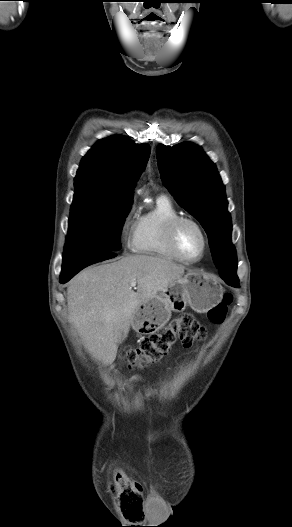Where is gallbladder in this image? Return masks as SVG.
Returning a JSON list of instances; mask_svg holds the SVG:
<instances>
[{"label": "gallbladder", "mask_w": 292, "mask_h": 527, "mask_svg": "<svg viewBox=\"0 0 292 527\" xmlns=\"http://www.w3.org/2000/svg\"><path fill=\"white\" fill-rule=\"evenodd\" d=\"M121 341H122V340H121L120 338H118V344L121 343Z\"/></svg>", "instance_id": "1"}]
</instances>
